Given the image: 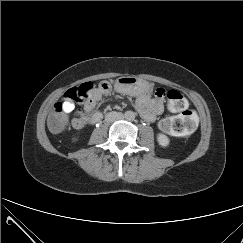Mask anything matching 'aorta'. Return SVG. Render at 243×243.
I'll use <instances>...</instances> for the list:
<instances>
[{
  "instance_id": "obj_1",
  "label": "aorta",
  "mask_w": 243,
  "mask_h": 243,
  "mask_svg": "<svg viewBox=\"0 0 243 243\" xmlns=\"http://www.w3.org/2000/svg\"><path fill=\"white\" fill-rule=\"evenodd\" d=\"M125 117L127 120H133L135 118V113L132 111H128L125 113Z\"/></svg>"
}]
</instances>
